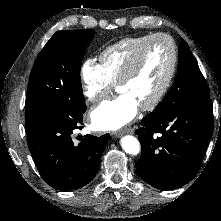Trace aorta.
I'll return each mask as SVG.
<instances>
[{
	"label": "aorta",
	"instance_id": "aorta-1",
	"mask_svg": "<svg viewBox=\"0 0 221 221\" xmlns=\"http://www.w3.org/2000/svg\"><path fill=\"white\" fill-rule=\"evenodd\" d=\"M120 143L123 150L130 155H137L140 152V143L134 136L126 135L122 137Z\"/></svg>",
	"mask_w": 221,
	"mask_h": 221
}]
</instances>
